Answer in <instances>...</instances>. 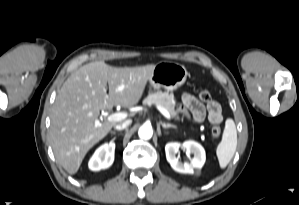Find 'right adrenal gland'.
<instances>
[{
	"label": "right adrenal gland",
	"instance_id": "right-adrenal-gland-1",
	"mask_svg": "<svg viewBox=\"0 0 299 205\" xmlns=\"http://www.w3.org/2000/svg\"><path fill=\"white\" fill-rule=\"evenodd\" d=\"M110 133H111V134H114V135L116 134V132H115V131H111Z\"/></svg>",
	"mask_w": 299,
	"mask_h": 205
}]
</instances>
